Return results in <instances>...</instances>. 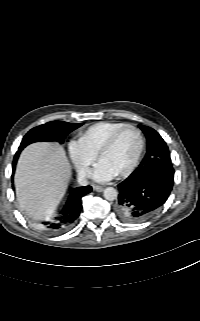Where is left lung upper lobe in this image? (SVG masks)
<instances>
[{"instance_id": "1", "label": "left lung upper lobe", "mask_w": 200, "mask_h": 321, "mask_svg": "<svg viewBox=\"0 0 200 321\" xmlns=\"http://www.w3.org/2000/svg\"><path fill=\"white\" fill-rule=\"evenodd\" d=\"M147 139V153L140 163V166L145 165H172L170 152L162 137L153 128L139 125Z\"/></svg>"}]
</instances>
